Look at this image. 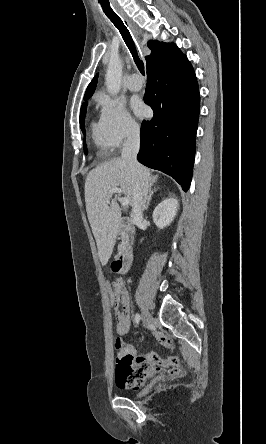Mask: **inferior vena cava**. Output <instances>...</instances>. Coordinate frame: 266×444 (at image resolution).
I'll return each instance as SVG.
<instances>
[{
  "instance_id": "inferior-vena-cava-1",
  "label": "inferior vena cava",
  "mask_w": 266,
  "mask_h": 444,
  "mask_svg": "<svg viewBox=\"0 0 266 444\" xmlns=\"http://www.w3.org/2000/svg\"><path fill=\"white\" fill-rule=\"evenodd\" d=\"M140 147V134L137 126H132L127 134L122 148V159L127 161L132 174L135 177L134 198L131 217L142 219L145 210L150 186L143 173V168L137 161V154Z\"/></svg>"
}]
</instances>
